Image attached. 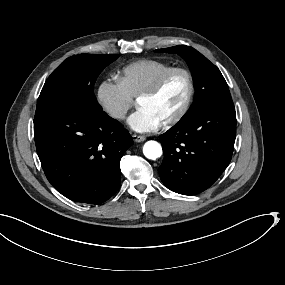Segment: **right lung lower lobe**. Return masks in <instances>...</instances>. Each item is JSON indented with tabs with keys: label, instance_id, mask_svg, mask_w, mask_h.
I'll return each mask as SVG.
<instances>
[{
	"label": "right lung lower lobe",
	"instance_id": "1",
	"mask_svg": "<svg viewBox=\"0 0 285 285\" xmlns=\"http://www.w3.org/2000/svg\"><path fill=\"white\" fill-rule=\"evenodd\" d=\"M34 140L51 185L70 200L97 205L120 187V159L133 144L105 112L56 109L34 118Z\"/></svg>",
	"mask_w": 285,
	"mask_h": 285
}]
</instances>
